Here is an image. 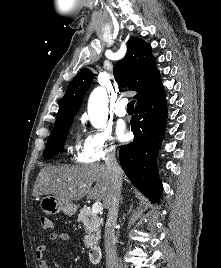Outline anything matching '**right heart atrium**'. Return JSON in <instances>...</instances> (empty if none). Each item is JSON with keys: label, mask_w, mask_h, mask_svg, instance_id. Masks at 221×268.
<instances>
[{"label": "right heart atrium", "mask_w": 221, "mask_h": 268, "mask_svg": "<svg viewBox=\"0 0 221 268\" xmlns=\"http://www.w3.org/2000/svg\"><path fill=\"white\" fill-rule=\"evenodd\" d=\"M85 145L92 162L102 161L116 151L114 139L108 128L90 132L86 138Z\"/></svg>", "instance_id": "right-heart-atrium-1"}]
</instances>
